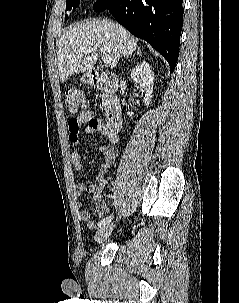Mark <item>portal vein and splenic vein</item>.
Listing matches in <instances>:
<instances>
[{
	"instance_id": "18ae733b",
	"label": "portal vein and splenic vein",
	"mask_w": 239,
	"mask_h": 303,
	"mask_svg": "<svg viewBox=\"0 0 239 303\" xmlns=\"http://www.w3.org/2000/svg\"><path fill=\"white\" fill-rule=\"evenodd\" d=\"M92 50H99V51H101L102 54H103V56H102L103 63L105 65L111 64V58L105 54V52L103 51L102 48H100V49L97 48V47L96 48H88L87 50L83 51V53L87 54V53H90Z\"/></svg>"
}]
</instances>
